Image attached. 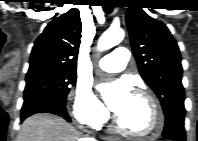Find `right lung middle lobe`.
<instances>
[{"instance_id":"1","label":"right lung middle lobe","mask_w":198,"mask_h":141,"mask_svg":"<svg viewBox=\"0 0 198 141\" xmlns=\"http://www.w3.org/2000/svg\"><path fill=\"white\" fill-rule=\"evenodd\" d=\"M76 81L75 71L39 70L28 72L24 101L42 99L65 106L70 86Z\"/></svg>"}]
</instances>
